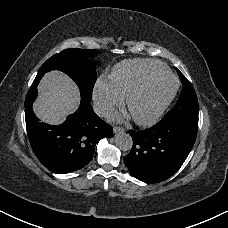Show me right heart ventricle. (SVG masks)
<instances>
[{
	"mask_svg": "<svg viewBox=\"0 0 228 228\" xmlns=\"http://www.w3.org/2000/svg\"><path fill=\"white\" fill-rule=\"evenodd\" d=\"M169 69L155 61L135 60L118 64L110 76V81L123 98L128 97L145 80L168 75Z\"/></svg>",
	"mask_w": 228,
	"mask_h": 228,
	"instance_id": "e07e8e85",
	"label": "right heart ventricle"
}]
</instances>
